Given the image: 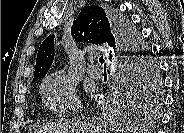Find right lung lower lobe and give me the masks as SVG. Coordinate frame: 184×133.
<instances>
[{"mask_svg": "<svg viewBox=\"0 0 184 133\" xmlns=\"http://www.w3.org/2000/svg\"><path fill=\"white\" fill-rule=\"evenodd\" d=\"M112 25L114 31L118 37V64L120 68L118 69V73L120 74V88H121V95L125 93L126 83L131 73L132 63V51L134 49H138L135 46L134 39H132L130 31L128 30L127 26L124 24L123 18L118 13L110 14ZM145 55L148 56L149 53L145 52Z\"/></svg>", "mask_w": 184, "mask_h": 133, "instance_id": "right-lung-lower-lobe-1", "label": "right lung lower lobe"}]
</instances>
